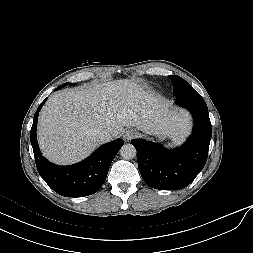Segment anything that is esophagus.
I'll return each instance as SVG.
<instances>
[{"mask_svg":"<svg viewBox=\"0 0 253 253\" xmlns=\"http://www.w3.org/2000/svg\"><path fill=\"white\" fill-rule=\"evenodd\" d=\"M138 132L135 129H126L123 132V139L126 142L131 141L133 138L137 137Z\"/></svg>","mask_w":253,"mask_h":253,"instance_id":"obj_1","label":"esophagus"}]
</instances>
